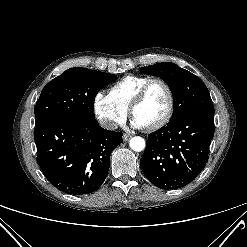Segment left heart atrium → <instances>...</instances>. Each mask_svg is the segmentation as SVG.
Masks as SVG:
<instances>
[{
    "label": "left heart atrium",
    "instance_id": "left-heart-atrium-1",
    "mask_svg": "<svg viewBox=\"0 0 247 247\" xmlns=\"http://www.w3.org/2000/svg\"><path fill=\"white\" fill-rule=\"evenodd\" d=\"M132 126H134L135 128H143V127H146L145 124L139 120L137 117H133L132 119Z\"/></svg>",
    "mask_w": 247,
    "mask_h": 247
}]
</instances>
